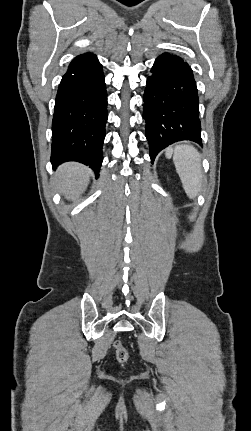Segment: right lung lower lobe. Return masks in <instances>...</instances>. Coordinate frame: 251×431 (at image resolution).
Segmentation results:
<instances>
[{
    "label": "right lung lower lobe",
    "mask_w": 251,
    "mask_h": 431,
    "mask_svg": "<svg viewBox=\"0 0 251 431\" xmlns=\"http://www.w3.org/2000/svg\"><path fill=\"white\" fill-rule=\"evenodd\" d=\"M107 93L95 55L75 57L59 84L52 121L51 163L78 161L99 176L107 121Z\"/></svg>",
    "instance_id": "obj_1"
}]
</instances>
